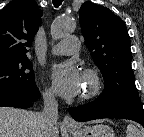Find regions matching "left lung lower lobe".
I'll return each mask as SVG.
<instances>
[{
  "label": "left lung lower lobe",
  "mask_w": 144,
  "mask_h": 137,
  "mask_svg": "<svg viewBox=\"0 0 144 137\" xmlns=\"http://www.w3.org/2000/svg\"><path fill=\"white\" fill-rule=\"evenodd\" d=\"M74 120L79 122L101 118L129 119L144 127V110L139 97L119 98L106 101L98 97L94 102L68 109Z\"/></svg>",
  "instance_id": "left-lung-lower-lobe-1"
}]
</instances>
